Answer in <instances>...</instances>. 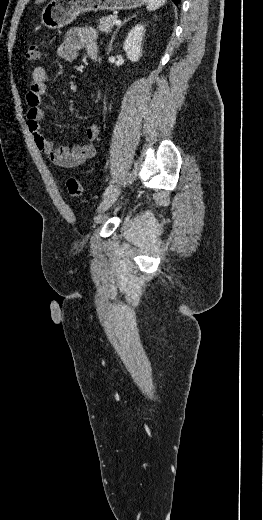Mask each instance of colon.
Wrapping results in <instances>:
<instances>
[{"instance_id":"5ec220e1","label":"colon","mask_w":263,"mask_h":520,"mask_svg":"<svg viewBox=\"0 0 263 520\" xmlns=\"http://www.w3.org/2000/svg\"><path fill=\"white\" fill-rule=\"evenodd\" d=\"M25 57L29 61H37L40 59V51L37 43H30L28 45ZM66 188L71 196H80L82 193V186L79 180L74 177H69L66 180Z\"/></svg>"}]
</instances>
